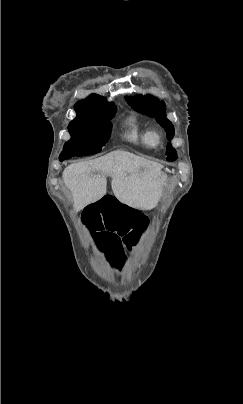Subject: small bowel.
Returning a JSON list of instances; mask_svg holds the SVG:
<instances>
[{"mask_svg": "<svg viewBox=\"0 0 243 404\" xmlns=\"http://www.w3.org/2000/svg\"><path fill=\"white\" fill-rule=\"evenodd\" d=\"M83 222L101 251L118 265L137 246L145 227L139 210L109 192L84 208Z\"/></svg>", "mask_w": 243, "mask_h": 404, "instance_id": "obj_1", "label": "small bowel"}]
</instances>
